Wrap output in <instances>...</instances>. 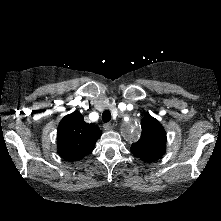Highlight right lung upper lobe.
Masks as SVG:
<instances>
[{
    "label": "right lung upper lobe",
    "instance_id": "right-lung-upper-lobe-1",
    "mask_svg": "<svg viewBox=\"0 0 221 221\" xmlns=\"http://www.w3.org/2000/svg\"><path fill=\"white\" fill-rule=\"evenodd\" d=\"M101 130L93 123H86L78 112L66 115L58 126V154L67 161H78L94 148Z\"/></svg>",
    "mask_w": 221,
    "mask_h": 221
}]
</instances>
